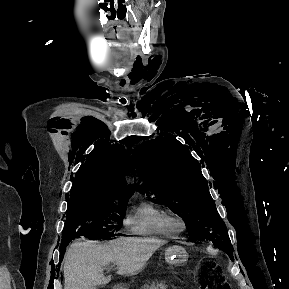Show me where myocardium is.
I'll use <instances>...</instances> for the list:
<instances>
[{"mask_svg": "<svg viewBox=\"0 0 289 289\" xmlns=\"http://www.w3.org/2000/svg\"><path fill=\"white\" fill-rule=\"evenodd\" d=\"M169 221L173 229L177 232H183L186 229V223L184 219L178 214L171 213Z\"/></svg>", "mask_w": 289, "mask_h": 289, "instance_id": "1", "label": "myocardium"}]
</instances>
